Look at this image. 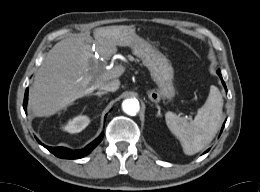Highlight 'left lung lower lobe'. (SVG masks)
I'll return each instance as SVG.
<instances>
[{"instance_id":"1","label":"left lung lower lobe","mask_w":260,"mask_h":192,"mask_svg":"<svg viewBox=\"0 0 260 192\" xmlns=\"http://www.w3.org/2000/svg\"><path fill=\"white\" fill-rule=\"evenodd\" d=\"M219 76H220V78H221V80H222V84H223L225 90H227L226 85H225V83H224V81H223V79H222V76H221V75H219ZM224 125H225V123L223 124V127H224ZM223 127H222V130H223ZM207 151H208V150H207ZM207 151H206V152H207Z\"/></svg>"}]
</instances>
